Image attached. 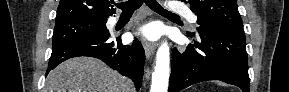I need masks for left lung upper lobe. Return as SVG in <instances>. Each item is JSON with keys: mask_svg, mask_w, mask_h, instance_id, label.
<instances>
[{"mask_svg": "<svg viewBox=\"0 0 289 92\" xmlns=\"http://www.w3.org/2000/svg\"><path fill=\"white\" fill-rule=\"evenodd\" d=\"M185 1V0H181ZM201 25H219L243 30L236 0H188ZM194 35V33H188Z\"/></svg>", "mask_w": 289, "mask_h": 92, "instance_id": "left-lung-upper-lobe-1", "label": "left lung upper lobe"}]
</instances>
